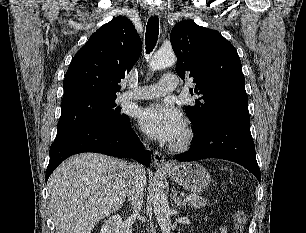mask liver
<instances>
[{"label": "liver", "mask_w": 306, "mask_h": 233, "mask_svg": "<svg viewBox=\"0 0 306 233\" xmlns=\"http://www.w3.org/2000/svg\"><path fill=\"white\" fill-rule=\"evenodd\" d=\"M127 162L97 153L64 161L48 180L49 207L57 233H91L124 203Z\"/></svg>", "instance_id": "6515ba94"}]
</instances>
